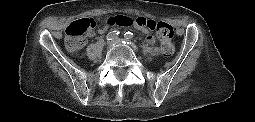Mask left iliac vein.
I'll list each match as a JSON object with an SVG mask.
<instances>
[{
    "mask_svg": "<svg viewBox=\"0 0 255 122\" xmlns=\"http://www.w3.org/2000/svg\"><path fill=\"white\" fill-rule=\"evenodd\" d=\"M116 41H120V39H119V38H117V39H116Z\"/></svg>",
    "mask_w": 255,
    "mask_h": 122,
    "instance_id": "1",
    "label": "left iliac vein"
}]
</instances>
